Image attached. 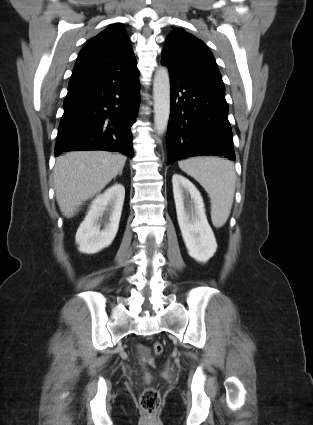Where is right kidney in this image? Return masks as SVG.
I'll list each match as a JSON object with an SVG mask.
<instances>
[{
	"label": "right kidney",
	"mask_w": 313,
	"mask_h": 425,
	"mask_svg": "<svg viewBox=\"0 0 313 425\" xmlns=\"http://www.w3.org/2000/svg\"><path fill=\"white\" fill-rule=\"evenodd\" d=\"M124 198V186L115 184L92 201L76 233L80 252L94 254L111 245L118 231ZM102 222L105 228L100 230Z\"/></svg>",
	"instance_id": "right-kidney-1"
}]
</instances>
